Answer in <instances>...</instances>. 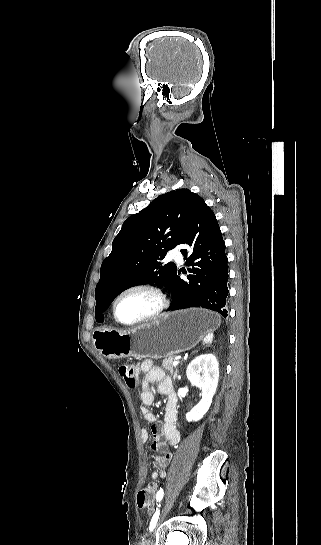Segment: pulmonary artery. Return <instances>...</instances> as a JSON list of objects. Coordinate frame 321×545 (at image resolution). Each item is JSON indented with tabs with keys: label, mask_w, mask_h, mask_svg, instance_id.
<instances>
[{
	"label": "pulmonary artery",
	"mask_w": 321,
	"mask_h": 545,
	"mask_svg": "<svg viewBox=\"0 0 321 545\" xmlns=\"http://www.w3.org/2000/svg\"><path fill=\"white\" fill-rule=\"evenodd\" d=\"M173 253H176V250H173ZM170 258L174 259L179 264L183 263V257L180 253L171 255Z\"/></svg>",
	"instance_id": "obj_1"
}]
</instances>
